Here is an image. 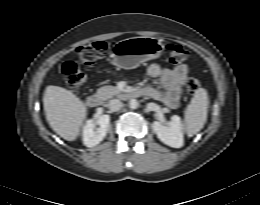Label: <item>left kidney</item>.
<instances>
[{
    "instance_id": "1",
    "label": "left kidney",
    "mask_w": 260,
    "mask_h": 205,
    "mask_svg": "<svg viewBox=\"0 0 260 205\" xmlns=\"http://www.w3.org/2000/svg\"><path fill=\"white\" fill-rule=\"evenodd\" d=\"M153 131L164 144L173 147L181 148L184 145L183 124L179 116L171 117L170 122L162 124L159 121H154L152 124Z\"/></svg>"
}]
</instances>
